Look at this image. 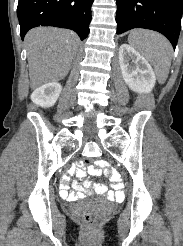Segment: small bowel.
Instances as JSON below:
<instances>
[{"mask_svg": "<svg viewBox=\"0 0 183 246\" xmlns=\"http://www.w3.org/2000/svg\"><path fill=\"white\" fill-rule=\"evenodd\" d=\"M106 167V162L98 161L95 162L94 166L88 167V172L92 175L98 174H110L108 178V183L112 184V189H115L116 192H112L104 184H92L88 179H86V169L81 163L78 165H68L66 169V174H60V179H71L72 175L75 174V179H85L82 184L77 182L72 183L73 189L76 193L69 192V184H58V198L75 200L82 198L85 195L90 194H100L106 196L110 200H119L123 197L122 189H125V184L120 182L121 174H117V169H103Z\"/></svg>", "mask_w": 183, "mask_h": 246, "instance_id": "obj_1", "label": "small bowel"}]
</instances>
